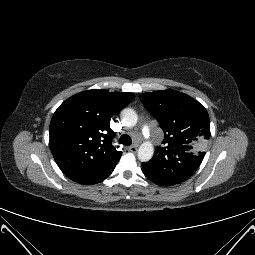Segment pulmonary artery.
Returning <instances> with one entry per match:
<instances>
[{"mask_svg":"<svg viewBox=\"0 0 255 255\" xmlns=\"http://www.w3.org/2000/svg\"><path fill=\"white\" fill-rule=\"evenodd\" d=\"M142 132L145 138H148L150 136V129L148 125H144L142 128Z\"/></svg>","mask_w":255,"mask_h":255,"instance_id":"obj_1","label":"pulmonary artery"}]
</instances>
